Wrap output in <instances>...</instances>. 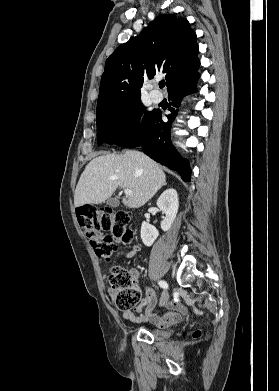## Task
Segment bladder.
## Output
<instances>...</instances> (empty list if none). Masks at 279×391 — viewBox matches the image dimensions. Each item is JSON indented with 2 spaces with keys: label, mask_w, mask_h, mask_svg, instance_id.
<instances>
[{
  "label": "bladder",
  "mask_w": 279,
  "mask_h": 391,
  "mask_svg": "<svg viewBox=\"0 0 279 391\" xmlns=\"http://www.w3.org/2000/svg\"><path fill=\"white\" fill-rule=\"evenodd\" d=\"M150 334L153 337H160V338H165V337H167L169 335L168 332L163 331V330H159V329L150 330Z\"/></svg>",
  "instance_id": "obj_1"
}]
</instances>
